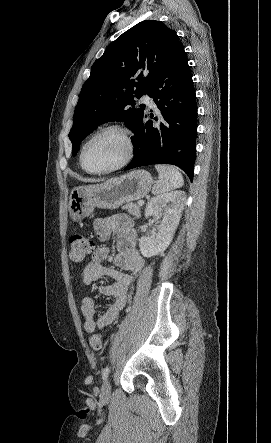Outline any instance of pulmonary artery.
Masks as SVG:
<instances>
[{
  "label": "pulmonary artery",
  "instance_id": "1",
  "mask_svg": "<svg viewBox=\"0 0 271 443\" xmlns=\"http://www.w3.org/2000/svg\"><path fill=\"white\" fill-rule=\"evenodd\" d=\"M141 101H142L143 103H145V104H146L148 107H150V108H155V107H156L153 98H152L151 96H149V95H144V96L141 98Z\"/></svg>",
  "mask_w": 271,
  "mask_h": 443
}]
</instances>
